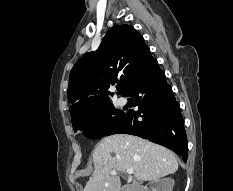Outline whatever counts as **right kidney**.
<instances>
[{
	"label": "right kidney",
	"instance_id": "obj_1",
	"mask_svg": "<svg viewBox=\"0 0 233 191\" xmlns=\"http://www.w3.org/2000/svg\"><path fill=\"white\" fill-rule=\"evenodd\" d=\"M157 187L152 191H172L174 186V180L172 178H163L156 181Z\"/></svg>",
	"mask_w": 233,
	"mask_h": 191
}]
</instances>
